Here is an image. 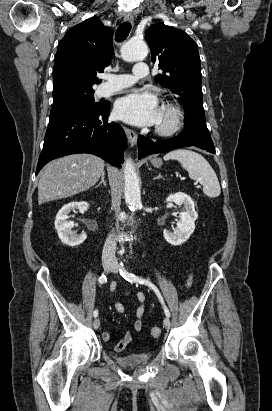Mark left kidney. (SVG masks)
I'll use <instances>...</instances> for the list:
<instances>
[{"label":"left kidney","mask_w":272,"mask_h":411,"mask_svg":"<svg viewBox=\"0 0 272 411\" xmlns=\"http://www.w3.org/2000/svg\"><path fill=\"white\" fill-rule=\"evenodd\" d=\"M166 202H174L184 207L183 211L179 214L180 221L177 223L176 229L173 232L163 231L164 238L169 244L174 246L181 245L189 239L195 230V220L198 217L195 204L191 197L183 192L170 194L166 198Z\"/></svg>","instance_id":"1"}]
</instances>
